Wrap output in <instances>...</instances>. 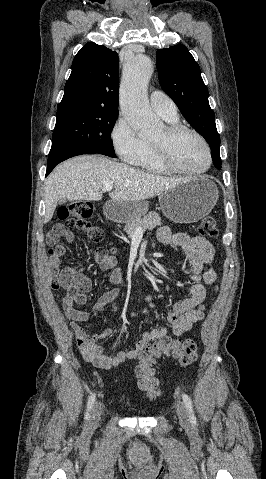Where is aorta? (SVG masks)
Wrapping results in <instances>:
<instances>
[{
    "label": "aorta",
    "mask_w": 266,
    "mask_h": 479,
    "mask_svg": "<svg viewBox=\"0 0 266 479\" xmlns=\"http://www.w3.org/2000/svg\"><path fill=\"white\" fill-rule=\"evenodd\" d=\"M152 71L151 60L145 55H137L125 63L120 86L122 114L129 125L142 135L151 134L161 126L146 95Z\"/></svg>",
    "instance_id": "aorta-1"
}]
</instances>
